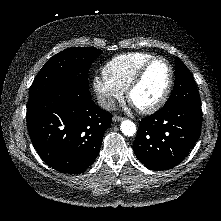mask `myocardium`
Segmentation results:
<instances>
[{
    "instance_id": "myocardium-1",
    "label": "myocardium",
    "mask_w": 221,
    "mask_h": 221,
    "mask_svg": "<svg viewBox=\"0 0 221 221\" xmlns=\"http://www.w3.org/2000/svg\"><path fill=\"white\" fill-rule=\"evenodd\" d=\"M157 60L163 61L168 68L167 84H166V87H165L162 95L160 96V98L156 102H154L153 104L146 106V107H136L135 106L136 109L142 114H151V113H154L157 110H159L167 101V99L170 95L172 86H173L174 71H173V67H172L171 63L163 56H153L149 60H147L145 63H143V65L137 70L136 74L133 76L132 80L128 84L127 89H126L127 99L132 103L131 97H132L133 91L142 81V79H143L147 69L150 67V65Z\"/></svg>"
}]
</instances>
